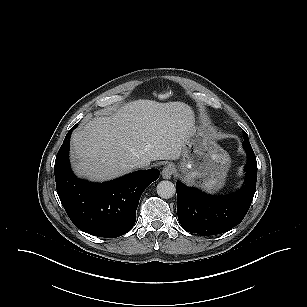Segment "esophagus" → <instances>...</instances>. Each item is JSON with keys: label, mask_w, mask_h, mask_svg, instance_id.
Segmentation results:
<instances>
[{"label": "esophagus", "mask_w": 307, "mask_h": 307, "mask_svg": "<svg viewBox=\"0 0 307 307\" xmlns=\"http://www.w3.org/2000/svg\"><path fill=\"white\" fill-rule=\"evenodd\" d=\"M174 171H175L174 166L171 165V164H168L162 170V177L164 179H170L172 177Z\"/></svg>", "instance_id": "esophagus-1"}]
</instances>
